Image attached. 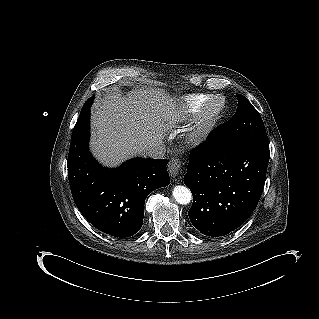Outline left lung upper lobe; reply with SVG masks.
<instances>
[{
	"label": "left lung upper lobe",
	"mask_w": 319,
	"mask_h": 319,
	"mask_svg": "<svg viewBox=\"0 0 319 319\" xmlns=\"http://www.w3.org/2000/svg\"><path fill=\"white\" fill-rule=\"evenodd\" d=\"M238 107L234 116L219 126L213 144H233L268 140L265 126L258 111L243 95L237 94Z\"/></svg>",
	"instance_id": "5c2ea615"
}]
</instances>
